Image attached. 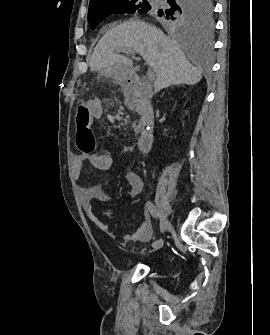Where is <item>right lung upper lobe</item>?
Instances as JSON below:
<instances>
[{
  "instance_id": "right-lung-upper-lobe-1",
  "label": "right lung upper lobe",
  "mask_w": 270,
  "mask_h": 335,
  "mask_svg": "<svg viewBox=\"0 0 270 335\" xmlns=\"http://www.w3.org/2000/svg\"><path fill=\"white\" fill-rule=\"evenodd\" d=\"M113 1L115 0H90L89 8L101 6V5H104V4L113 2Z\"/></svg>"
}]
</instances>
